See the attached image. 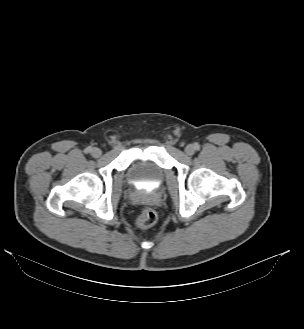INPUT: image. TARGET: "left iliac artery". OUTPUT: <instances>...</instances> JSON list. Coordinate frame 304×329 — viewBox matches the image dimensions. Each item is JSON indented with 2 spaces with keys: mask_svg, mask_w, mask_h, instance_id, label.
Listing matches in <instances>:
<instances>
[{
  "mask_svg": "<svg viewBox=\"0 0 304 329\" xmlns=\"http://www.w3.org/2000/svg\"><path fill=\"white\" fill-rule=\"evenodd\" d=\"M194 148H195L196 150H199V148H200L199 144H198V143H195V144H194Z\"/></svg>",
  "mask_w": 304,
  "mask_h": 329,
  "instance_id": "obj_1",
  "label": "left iliac artery"
}]
</instances>
